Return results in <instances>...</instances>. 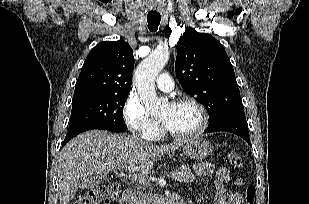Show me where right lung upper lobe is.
Returning a JSON list of instances; mask_svg holds the SVG:
<instances>
[{"label":"right lung upper lobe","instance_id":"right-lung-upper-lobe-1","mask_svg":"<svg viewBox=\"0 0 309 204\" xmlns=\"http://www.w3.org/2000/svg\"><path fill=\"white\" fill-rule=\"evenodd\" d=\"M134 66L133 50L125 41H104L86 57L72 103L111 94H128Z\"/></svg>","mask_w":309,"mask_h":204}]
</instances>
